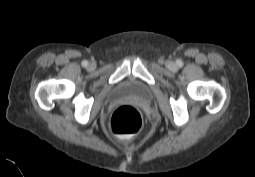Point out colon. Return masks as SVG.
<instances>
[{"label": "colon", "instance_id": "obj_1", "mask_svg": "<svg viewBox=\"0 0 255 177\" xmlns=\"http://www.w3.org/2000/svg\"><path fill=\"white\" fill-rule=\"evenodd\" d=\"M109 124L114 134L128 137L140 131L142 116L135 107L123 105L114 111Z\"/></svg>", "mask_w": 255, "mask_h": 177}]
</instances>
